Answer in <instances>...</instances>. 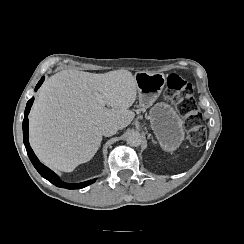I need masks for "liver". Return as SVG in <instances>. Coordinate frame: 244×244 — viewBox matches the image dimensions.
<instances>
[{
	"mask_svg": "<svg viewBox=\"0 0 244 244\" xmlns=\"http://www.w3.org/2000/svg\"><path fill=\"white\" fill-rule=\"evenodd\" d=\"M100 94L105 105L99 104ZM135 76L128 70L94 74L64 70L46 80L30 114V142L51 168L73 171L90 161L102 141V126L126 128L135 118Z\"/></svg>",
	"mask_w": 244,
	"mask_h": 244,
	"instance_id": "liver-1",
	"label": "liver"
}]
</instances>
